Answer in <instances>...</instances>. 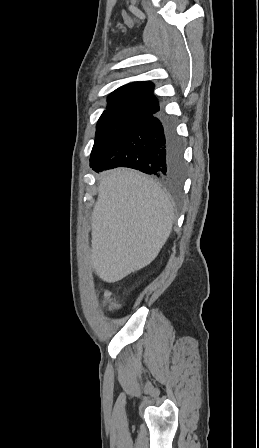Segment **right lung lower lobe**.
Instances as JSON below:
<instances>
[{
  "mask_svg": "<svg viewBox=\"0 0 259 448\" xmlns=\"http://www.w3.org/2000/svg\"><path fill=\"white\" fill-rule=\"evenodd\" d=\"M120 166L177 184L183 175L182 143L173 122L159 112L133 121L102 152L92 168L100 172Z\"/></svg>",
  "mask_w": 259,
  "mask_h": 448,
  "instance_id": "right-lung-lower-lobe-1",
  "label": "right lung lower lobe"
}]
</instances>
